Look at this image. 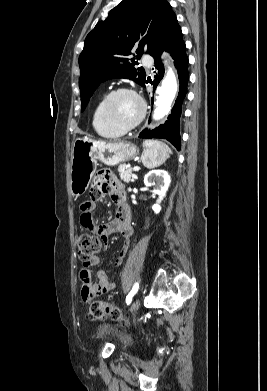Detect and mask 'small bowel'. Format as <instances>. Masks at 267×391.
<instances>
[{"label":"small bowel","instance_id":"small-bowel-1","mask_svg":"<svg viewBox=\"0 0 267 391\" xmlns=\"http://www.w3.org/2000/svg\"><path fill=\"white\" fill-rule=\"evenodd\" d=\"M89 196L90 199L80 205V223L85 230L96 233L105 242L114 233H119L124 238V244L116 259V265H120L126 257L134 237L131 211L126 202L123 185L110 170L100 169L92 179ZM104 196H109L116 205V216L109 223L97 225L93 219V211L96 207V201ZM99 263L100 258L95 256L80 271V294L86 303L115 288V284L109 281L106 273L102 270L95 272L94 278L92 277L90 268L98 266Z\"/></svg>","mask_w":267,"mask_h":391}]
</instances>
